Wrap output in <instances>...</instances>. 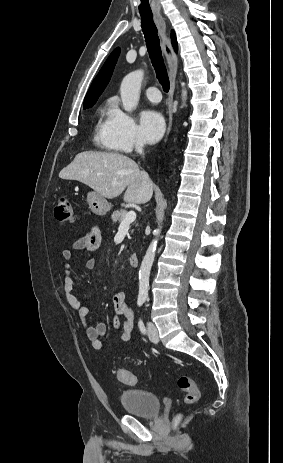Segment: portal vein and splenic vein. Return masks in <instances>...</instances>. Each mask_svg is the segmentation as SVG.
<instances>
[{"instance_id":"obj_1","label":"portal vein and splenic vein","mask_w":283,"mask_h":463,"mask_svg":"<svg viewBox=\"0 0 283 463\" xmlns=\"http://www.w3.org/2000/svg\"><path fill=\"white\" fill-rule=\"evenodd\" d=\"M136 219V212L131 210L127 212L124 220L121 222V225L130 224Z\"/></svg>"}]
</instances>
